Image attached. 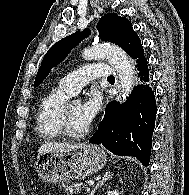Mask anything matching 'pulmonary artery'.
<instances>
[{
    "mask_svg": "<svg viewBox=\"0 0 189 195\" xmlns=\"http://www.w3.org/2000/svg\"><path fill=\"white\" fill-rule=\"evenodd\" d=\"M110 67L103 63H93L74 70L60 81V86L69 93L76 94L83 86L96 78H104Z\"/></svg>",
    "mask_w": 189,
    "mask_h": 195,
    "instance_id": "e3ab8cb5",
    "label": "pulmonary artery"
}]
</instances>
